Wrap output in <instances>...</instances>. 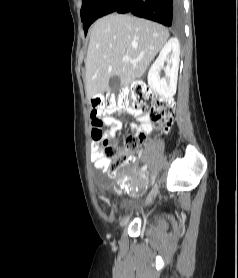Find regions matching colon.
<instances>
[{
    "label": "colon",
    "instance_id": "5ec220e1",
    "mask_svg": "<svg viewBox=\"0 0 238 278\" xmlns=\"http://www.w3.org/2000/svg\"><path fill=\"white\" fill-rule=\"evenodd\" d=\"M115 108H126L134 112L148 114L157 130L168 132L173 124L174 104L172 101L158 98L143 82L134 83L129 89L115 93L97 95L91 100L90 118L92 123V138L100 140L103 136V112ZM144 138L141 133L140 141ZM138 141L126 137L124 148L116 143L104 142L103 154L108 160L106 170L111 177H116L120 167L126 162V149L135 148Z\"/></svg>",
    "mask_w": 238,
    "mask_h": 278
}]
</instances>
